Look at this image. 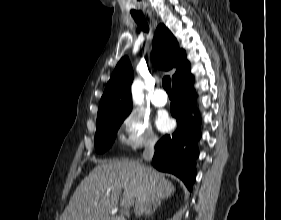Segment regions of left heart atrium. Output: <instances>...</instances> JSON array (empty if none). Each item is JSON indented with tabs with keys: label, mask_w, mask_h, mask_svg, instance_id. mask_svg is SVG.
Wrapping results in <instances>:
<instances>
[{
	"label": "left heart atrium",
	"mask_w": 281,
	"mask_h": 220,
	"mask_svg": "<svg viewBox=\"0 0 281 220\" xmlns=\"http://www.w3.org/2000/svg\"><path fill=\"white\" fill-rule=\"evenodd\" d=\"M156 125L160 131L166 132L172 128V121L167 113L162 112L156 120Z\"/></svg>",
	"instance_id": "39dd6f15"
}]
</instances>
